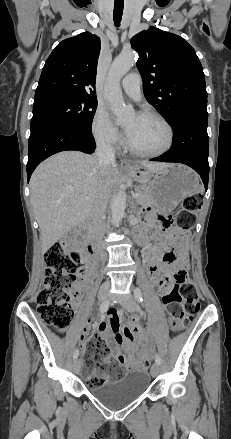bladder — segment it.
Here are the masks:
<instances>
[{
	"instance_id": "31cf9c89",
	"label": "bladder",
	"mask_w": 231,
	"mask_h": 439,
	"mask_svg": "<svg viewBox=\"0 0 231 439\" xmlns=\"http://www.w3.org/2000/svg\"><path fill=\"white\" fill-rule=\"evenodd\" d=\"M150 381L151 376L147 370L133 368L120 381L90 387L88 390L105 406L118 409L141 397L148 389Z\"/></svg>"
}]
</instances>
